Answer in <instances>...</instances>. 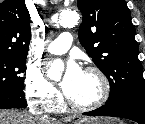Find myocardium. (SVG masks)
<instances>
[{"mask_svg": "<svg viewBox=\"0 0 145 124\" xmlns=\"http://www.w3.org/2000/svg\"><path fill=\"white\" fill-rule=\"evenodd\" d=\"M84 72L94 74L98 78L101 91L99 97L95 101L84 105L75 104L68 98V96H66L65 98L66 105L71 110L78 113L91 112L102 107L107 102L110 96L109 80L105 75V73L100 68L96 66H87L84 68Z\"/></svg>", "mask_w": 145, "mask_h": 124, "instance_id": "obj_1", "label": "myocardium"}]
</instances>
